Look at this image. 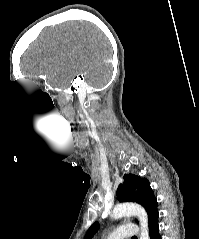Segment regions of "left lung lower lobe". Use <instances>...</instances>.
<instances>
[{
    "instance_id": "0a47b994",
    "label": "left lung lower lobe",
    "mask_w": 199,
    "mask_h": 239,
    "mask_svg": "<svg viewBox=\"0 0 199 239\" xmlns=\"http://www.w3.org/2000/svg\"><path fill=\"white\" fill-rule=\"evenodd\" d=\"M158 211L150 218L148 222L149 236L150 239H162L159 233L158 225Z\"/></svg>"
}]
</instances>
